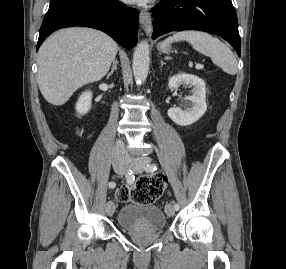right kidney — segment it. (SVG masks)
<instances>
[{"instance_id": "obj_1", "label": "right kidney", "mask_w": 286, "mask_h": 269, "mask_svg": "<svg viewBox=\"0 0 286 269\" xmlns=\"http://www.w3.org/2000/svg\"><path fill=\"white\" fill-rule=\"evenodd\" d=\"M92 92L86 91L81 94L76 103V111L79 115L88 113L91 108Z\"/></svg>"}]
</instances>
